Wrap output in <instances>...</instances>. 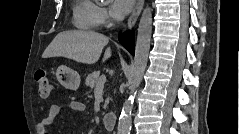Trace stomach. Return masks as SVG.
Returning <instances> with one entry per match:
<instances>
[{"instance_id":"0dacf381","label":"stomach","mask_w":239,"mask_h":134,"mask_svg":"<svg viewBox=\"0 0 239 134\" xmlns=\"http://www.w3.org/2000/svg\"><path fill=\"white\" fill-rule=\"evenodd\" d=\"M57 80L66 88L76 90L80 85V75L73 69L61 65L56 70Z\"/></svg>"}]
</instances>
